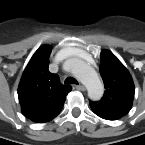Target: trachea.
<instances>
[{"label":"trachea","mask_w":145,"mask_h":145,"mask_svg":"<svg viewBox=\"0 0 145 145\" xmlns=\"http://www.w3.org/2000/svg\"><path fill=\"white\" fill-rule=\"evenodd\" d=\"M65 84H78L77 80L73 77H68L65 79Z\"/></svg>","instance_id":"1"}]
</instances>
